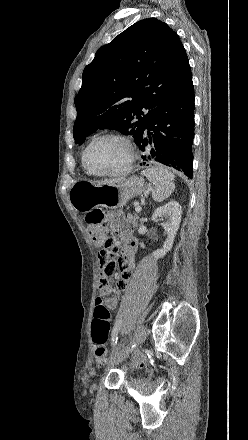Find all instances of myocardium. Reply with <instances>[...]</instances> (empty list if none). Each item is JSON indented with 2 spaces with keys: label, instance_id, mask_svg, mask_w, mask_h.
<instances>
[{
  "label": "myocardium",
  "instance_id": "obj_1",
  "mask_svg": "<svg viewBox=\"0 0 248 440\" xmlns=\"http://www.w3.org/2000/svg\"><path fill=\"white\" fill-rule=\"evenodd\" d=\"M106 138H115L118 139L120 141H122L127 149H128V159L126 164L124 165V167H122L119 170L116 171H112V172H95L93 171L88 164V153L89 150L91 149V147L98 141L106 139ZM83 166L85 168V170L93 175V176H97V177H118V176H122L125 175L126 173H128L133 165L134 162L136 160V152L134 149V145L132 143V141L130 140L129 137H127L126 135L119 133V132H106L103 134L98 135L97 137H95L85 148L84 152H83Z\"/></svg>",
  "mask_w": 248,
  "mask_h": 440
}]
</instances>
